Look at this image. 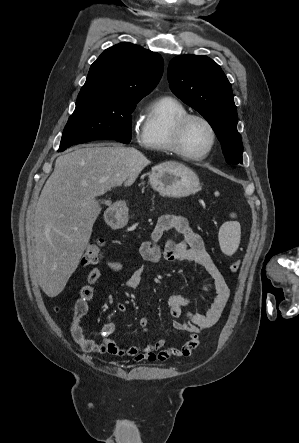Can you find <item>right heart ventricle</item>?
Wrapping results in <instances>:
<instances>
[{
  "label": "right heart ventricle",
  "mask_w": 299,
  "mask_h": 443,
  "mask_svg": "<svg viewBox=\"0 0 299 443\" xmlns=\"http://www.w3.org/2000/svg\"><path fill=\"white\" fill-rule=\"evenodd\" d=\"M186 113V107L173 97L163 96L155 99L146 110L139 137L141 146L155 152H174L173 126L175 121Z\"/></svg>",
  "instance_id": "e07e8e85"
}]
</instances>
